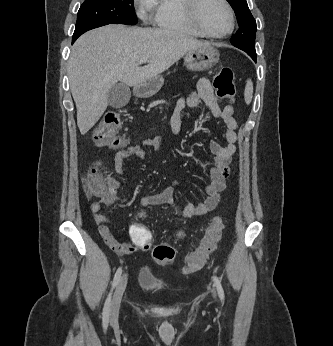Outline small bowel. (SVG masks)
<instances>
[{
    "label": "small bowel",
    "mask_w": 333,
    "mask_h": 346,
    "mask_svg": "<svg viewBox=\"0 0 333 346\" xmlns=\"http://www.w3.org/2000/svg\"><path fill=\"white\" fill-rule=\"evenodd\" d=\"M202 104L206 105L211 110L212 114L225 124L226 130L224 132V139L226 144L223 145L216 140L210 142V150L214 155V161L210 170V182L205 186L206 198L199 204L188 203L185 205L181 210V216L183 218L204 215L217 207L220 202L221 192L224 191L226 187V180L229 176V164L236 151L237 123L234 118V109L231 106H221V102L214 95L211 84L207 78H201L194 92L178 100L170 120L173 133L178 135L180 132L181 111L185 107H196ZM143 147H152L164 151V144L160 138H146L141 145H129L116 152L113 158L115 171L120 175L125 174L124 161L127 158L137 157L145 159L146 153ZM106 179L109 187L107 196L96 200L90 207L94 221L97 224L98 232L105 243L112 247L113 254H134L137 244L123 243L122 239H116L109 228L108 218L102 213L103 208L110 206L118 200L116 196V190L119 186L118 181L110 176ZM176 186L177 183L174 182L171 187L166 188L159 194L142 197V206L146 208L160 205L172 206L174 203L173 195Z\"/></svg>",
    "instance_id": "1"
}]
</instances>
